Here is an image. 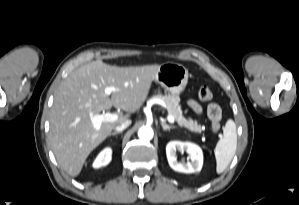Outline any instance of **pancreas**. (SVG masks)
<instances>
[{
    "instance_id": "cf45deb5",
    "label": "pancreas",
    "mask_w": 299,
    "mask_h": 205,
    "mask_svg": "<svg viewBox=\"0 0 299 205\" xmlns=\"http://www.w3.org/2000/svg\"><path fill=\"white\" fill-rule=\"evenodd\" d=\"M154 99L162 100L171 116L178 123L180 127H185L192 132L200 133L203 129L196 120L191 118H185L182 114V109L180 106V98L175 95H162L158 94L153 97Z\"/></svg>"
}]
</instances>
